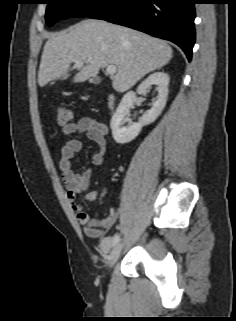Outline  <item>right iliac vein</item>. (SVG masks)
<instances>
[{
	"instance_id": "right-iliac-vein-1",
	"label": "right iliac vein",
	"mask_w": 236,
	"mask_h": 321,
	"mask_svg": "<svg viewBox=\"0 0 236 321\" xmlns=\"http://www.w3.org/2000/svg\"><path fill=\"white\" fill-rule=\"evenodd\" d=\"M122 250V244L118 243L110 252L109 257H108V265L109 267H112L115 262L118 260L119 255L121 253Z\"/></svg>"
}]
</instances>
